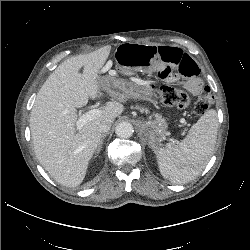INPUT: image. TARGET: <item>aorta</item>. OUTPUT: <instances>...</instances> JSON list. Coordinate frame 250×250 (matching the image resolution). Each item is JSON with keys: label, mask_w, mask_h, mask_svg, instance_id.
<instances>
[{"label": "aorta", "mask_w": 250, "mask_h": 250, "mask_svg": "<svg viewBox=\"0 0 250 250\" xmlns=\"http://www.w3.org/2000/svg\"><path fill=\"white\" fill-rule=\"evenodd\" d=\"M116 135L120 138H129L132 136L134 130L129 122H121L116 126Z\"/></svg>", "instance_id": "aorta-1"}]
</instances>
